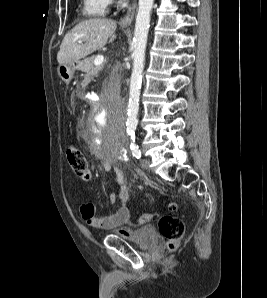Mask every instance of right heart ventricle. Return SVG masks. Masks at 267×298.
<instances>
[{
    "mask_svg": "<svg viewBox=\"0 0 267 298\" xmlns=\"http://www.w3.org/2000/svg\"><path fill=\"white\" fill-rule=\"evenodd\" d=\"M81 13L87 18H100L106 13V0H81Z\"/></svg>",
    "mask_w": 267,
    "mask_h": 298,
    "instance_id": "e07e8e85",
    "label": "right heart ventricle"
}]
</instances>
